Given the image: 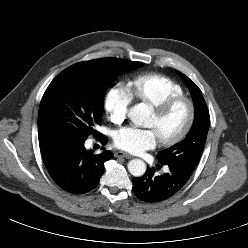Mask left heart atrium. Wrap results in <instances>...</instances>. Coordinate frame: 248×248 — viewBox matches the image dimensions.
I'll return each mask as SVG.
<instances>
[{
	"instance_id": "1",
	"label": "left heart atrium",
	"mask_w": 248,
	"mask_h": 248,
	"mask_svg": "<svg viewBox=\"0 0 248 248\" xmlns=\"http://www.w3.org/2000/svg\"><path fill=\"white\" fill-rule=\"evenodd\" d=\"M158 141L159 138L154 129H141L132 126L120 129L114 137L115 145L130 153H140L152 149Z\"/></svg>"
}]
</instances>
